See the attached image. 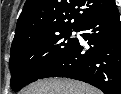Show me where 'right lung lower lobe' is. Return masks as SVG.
I'll use <instances>...</instances> for the list:
<instances>
[{"mask_svg": "<svg viewBox=\"0 0 121 94\" xmlns=\"http://www.w3.org/2000/svg\"><path fill=\"white\" fill-rule=\"evenodd\" d=\"M88 41L89 50L77 39L74 47L51 66L40 79L69 77L89 83L105 94H121V23L116 3L81 23L77 32Z\"/></svg>", "mask_w": 121, "mask_h": 94, "instance_id": "1", "label": "right lung lower lobe"}]
</instances>
